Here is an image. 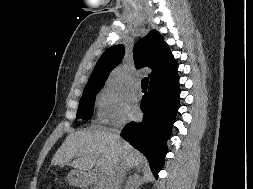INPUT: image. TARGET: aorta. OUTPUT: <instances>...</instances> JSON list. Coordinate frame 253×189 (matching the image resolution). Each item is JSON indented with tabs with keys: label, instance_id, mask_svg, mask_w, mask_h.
Instances as JSON below:
<instances>
[{
	"label": "aorta",
	"instance_id": "762f6f07",
	"mask_svg": "<svg viewBox=\"0 0 253 189\" xmlns=\"http://www.w3.org/2000/svg\"><path fill=\"white\" fill-rule=\"evenodd\" d=\"M119 76H120V72H119V71H116V72L113 74V76H112V78H111V80H110V84L116 85V84L118 83Z\"/></svg>",
	"mask_w": 253,
	"mask_h": 189
}]
</instances>
